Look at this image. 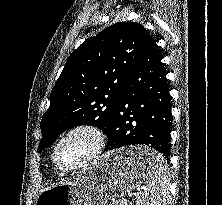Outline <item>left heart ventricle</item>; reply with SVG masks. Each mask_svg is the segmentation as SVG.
Returning a JSON list of instances; mask_svg holds the SVG:
<instances>
[{
	"mask_svg": "<svg viewBox=\"0 0 222 205\" xmlns=\"http://www.w3.org/2000/svg\"><path fill=\"white\" fill-rule=\"evenodd\" d=\"M93 138L85 133H77L67 138L57 150V161L62 167L78 163L92 148Z\"/></svg>",
	"mask_w": 222,
	"mask_h": 205,
	"instance_id": "obj_1",
	"label": "left heart ventricle"
}]
</instances>
